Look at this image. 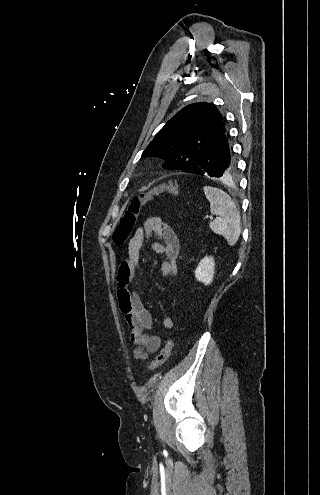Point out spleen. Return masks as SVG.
Here are the masks:
<instances>
[{"label": "spleen", "instance_id": "3e777b00", "mask_svg": "<svg viewBox=\"0 0 320 495\" xmlns=\"http://www.w3.org/2000/svg\"><path fill=\"white\" fill-rule=\"evenodd\" d=\"M204 193L210 202V212L216 218L210 222V229L223 236L228 245L234 246L241 233L240 215L231 197L221 189L205 186Z\"/></svg>", "mask_w": 320, "mask_h": 495}]
</instances>
